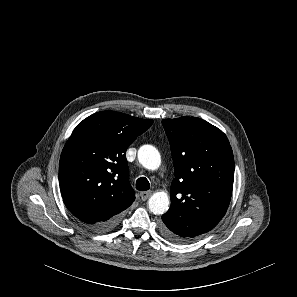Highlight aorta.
Returning <instances> with one entry per match:
<instances>
[{
    "label": "aorta",
    "instance_id": "762f6f07",
    "mask_svg": "<svg viewBox=\"0 0 297 297\" xmlns=\"http://www.w3.org/2000/svg\"><path fill=\"white\" fill-rule=\"evenodd\" d=\"M138 160L148 170H156L161 164L160 153L152 145H143L139 148ZM148 205L153 214L162 215L169 208V197L165 192H156L150 197Z\"/></svg>",
    "mask_w": 297,
    "mask_h": 297
}]
</instances>
